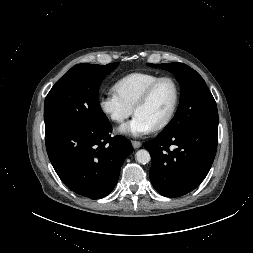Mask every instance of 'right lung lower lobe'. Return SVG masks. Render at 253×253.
<instances>
[{"instance_id":"obj_1","label":"right lung lower lobe","mask_w":253,"mask_h":253,"mask_svg":"<svg viewBox=\"0 0 253 253\" xmlns=\"http://www.w3.org/2000/svg\"><path fill=\"white\" fill-rule=\"evenodd\" d=\"M109 120L93 125H66L45 132L49 159L73 192L91 199L115 187L122 163L133 151L124 136L111 137Z\"/></svg>"}]
</instances>
